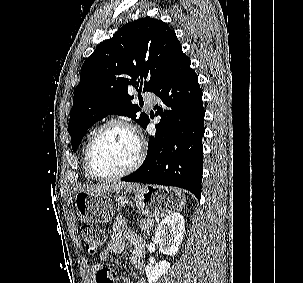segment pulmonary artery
<instances>
[{
    "label": "pulmonary artery",
    "instance_id": "obj_1",
    "mask_svg": "<svg viewBox=\"0 0 303 283\" xmlns=\"http://www.w3.org/2000/svg\"><path fill=\"white\" fill-rule=\"evenodd\" d=\"M144 98L148 105L152 106L155 102V95L151 92H144Z\"/></svg>",
    "mask_w": 303,
    "mask_h": 283
}]
</instances>
